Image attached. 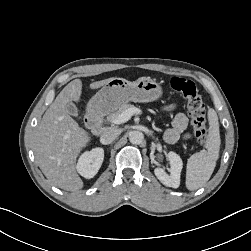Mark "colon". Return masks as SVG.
<instances>
[{
    "mask_svg": "<svg viewBox=\"0 0 251 251\" xmlns=\"http://www.w3.org/2000/svg\"><path fill=\"white\" fill-rule=\"evenodd\" d=\"M170 86L186 100L188 113L197 141L200 144L206 143L208 132L206 127L205 105L196 84L189 79L173 77L170 80Z\"/></svg>",
    "mask_w": 251,
    "mask_h": 251,
    "instance_id": "5ec220e1",
    "label": "colon"
}]
</instances>
